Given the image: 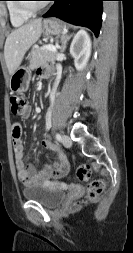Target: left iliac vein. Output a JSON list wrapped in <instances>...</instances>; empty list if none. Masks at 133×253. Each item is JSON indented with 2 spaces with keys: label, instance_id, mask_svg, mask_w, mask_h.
I'll list each match as a JSON object with an SVG mask.
<instances>
[{
  "label": "left iliac vein",
  "instance_id": "obj_1",
  "mask_svg": "<svg viewBox=\"0 0 133 253\" xmlns=\"http://www.w3.org/2000/svg\"><path fill=\"white\" fill-rule=\"evenodd\" d=\"M61 140H62V144L65 147H71L72 140H71V138L68 135H62V139Z\"/></svg>",
  "mask_w": 133,
  "mask_h": 253
}]
</instances>
